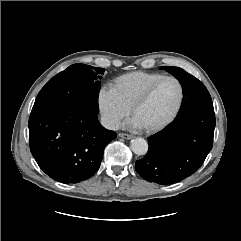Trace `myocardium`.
Here are the masks:
<instances>
[{"label": "myocardium", "instance_id": "1", "mask_svg": "<svg viewBox=\"0 0 241 241\" xmlns=\"http://www.w3.org/2000/svg\"><path fill=\"white\" fill-rule=\"evenodd\" d=\"M167 80H172L174 82H176V84L179 87V98L177 101V104L175 106V108L173 109V111L171 112V114L165 119L163 120L161 123L152 126V127H147L144 128L146 132L148 133H155L158 132L162 129H164L166 126H168L178 115L183 101H184V87L182 82L175 76H163L160 79L156 80L155 82H153L151 85H149L144 91L143 93L133 102L130 111L131 114L134 116L135 111L141 106L143 105L152 95V93L155 91V89L164 81Z\"/></svg>", "mask_w": 241, "mask_h": 241}]
</instances>
